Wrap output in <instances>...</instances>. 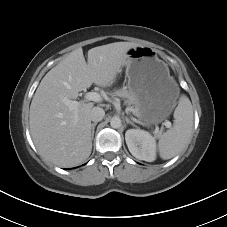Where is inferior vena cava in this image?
Segmentation results:
<instances>
[{
	"label": "inferior vena cava",
	"mask_w": 227,
	"mask_h": 227,
	"mask_svg": "<svg viewBox=\"0 0 227 227\" xmlns=\"http://www.w3.org/2000/svg\"><path fill=\"white\" fill-rule=\"evenodd\" d=\"M104 115H105V111L100 107H94L90 112V118L93 122L101 121Z\"/></svg>",
	"instance_id": "obj_1"
}]
</instances>
